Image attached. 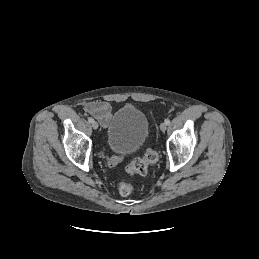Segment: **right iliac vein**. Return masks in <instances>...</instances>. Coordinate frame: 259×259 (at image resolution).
I'll list each match as a JSON object with an SVG mask.
<instances>
[{"label":"right iliac vein","mask_w":259,"mask_h":259,"mask_svg":"<svg viewBox=\"0 0 259 259\" xmlns=\"http://www.w3.org/2000/svg\"><path fill=\"white\" fill-rule=\"evenodd\" d=\"M92 127H93V129H98V123L96 122V121H93L92 122Z\"/></svg>","instance_id":"obj_1"}]
</instances>
